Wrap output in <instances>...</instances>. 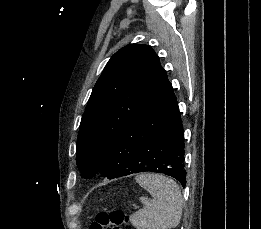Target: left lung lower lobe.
Masks as SVG:
<instances>
[{
    "instance_id": "left-lung-lower-lobe-1",
    "label": "left lung lower lobe",
    "mask_w": 261,
    "mask_h": 229,
    "mask_svg": "<svg viewBox=\"0 0 261 229\" xmlns=\"http://www.w3.org/2000/svg\"><path fill=\"white\" fill-rule=\"evenodd\" d=\"M184 131L172 85L160 87L127 124L98 172L108 179L157 172L186 185Z\"/></svg>"
}]
</instances>
